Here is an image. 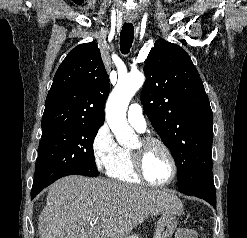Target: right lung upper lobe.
Wrapping results in <instances>:
<instances>
[{
    "label": "right lung upper lobe",
    "instance_id": "right-lung-upper-lobe-1",
    "mask_svg": "<svg viewBox=\"0 0 247 238\" xmlns=\"http://www.w3.org/2000/svg\"><path fill=\"white\" fill-rule=\"evenodd\" d=\"M109 80L95 42L75 47L59 66L48 92L42 129L105 120Z\"/></svg>",
    "mask_w": 247,
    "mask_h": 238
}]
</instances>
